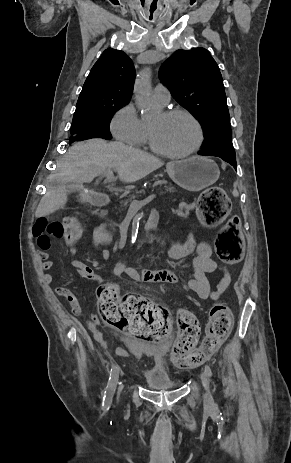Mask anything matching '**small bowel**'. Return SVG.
<instances>
[{
  "label": "small bowel",
  "instance_id": "c3829d8e",
  "mask_svg": "<svg viewBox=\"0 0 291 463\" xmlns=\"http://www.w3.org/2000/svg\"><path fill=\"white\" fill-rule=\"evenodd\" d=\"M152 233H156L157 229L152 228ZM37 245L39 248V259L42 261L41 269L44 272L43 280L45 283L50 284L54 277L49 270L54 266V261L50 259L49 250L51 248L50 238L46 235L36 236ZM75 240H67V244L70 245V254L72 257L71 264L78 275L81 277L99 281L97 274L94 269L86 264L85 262L76 258L77 250L74 247ZM92 245L95 249L99 250L104 259L110 258V252L105 247L112 241V235L105 224H101L96 227L92 233ZM194 250H196V256L192 262V271L188 278L184 282V288L195 294L201 299L216 300L219 296L227 289L231 282V275L228 268L224 265L218 264L212 258L211 246L206 242L196 243L194 232L190 231L184 242L181 244L171 245L168 248V254L174 259H183L189 256ZM219 271L221 273V279L217 284L215 290L210 286L207 278L208 273ZM182 269H166V270H142L139 271L134 268L126 266L124 259H120L115 266L116 275H125L134 281H144L150 283H167L175 284L179 282ZM55 293L64 298L70 305L72 312L82 318H86V312L83 309L79 298L67 287L58 286L54 289ZM99 321L96 317L87 319V325L94 338L102 345L106 346V342L103 338L102 333L98 330ZM123 350H116L117 355H123Z\"/></svg>",
  "mask_w": 291,
  "mask_h": 463
}]
</instances>
